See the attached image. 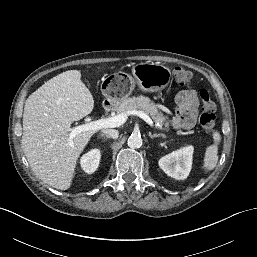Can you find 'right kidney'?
<instances>
[{
	"label": "right kidney",
	"mask_w": 257,
	"mask_h": 257,
	"mask_svg": "<svg viewBox=\"0 0 257 257\" xmlns=\"http://www.w3.org/2000/svg\"><path fill=\"white\" fill-rule=\"evenodd\" d=\"M101 158V153L99 149H92L88 153L82 156L80 164L84 172L87 174H92L96 171Z\"/></svg>",
	"instance_id": "1"
}]
</instances>
